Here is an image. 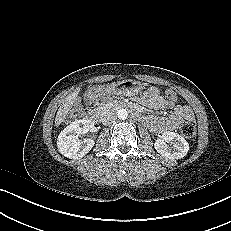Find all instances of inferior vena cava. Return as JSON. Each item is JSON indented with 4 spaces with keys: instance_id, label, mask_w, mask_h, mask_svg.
I'll use <instances>...</instances> for the list:
<instances>
[{
    "instance_id": "602c4592",
    "label": "inferior vena cava",
    "mask_w": 231,
    "mask_h": 231,
    "mask_svg": "<svg viewBox=\"0 0 231 231\" xmlns=\"http://www.w3.org/2000/svg\"><path fill=\"white\" fill-rule=\"evenodd\" d=\"M116 119H117L116 113L107 112L104 114L101 121L104 125H110V124L114 123L116 121Z\"/></svg>"
}]
</instances>
